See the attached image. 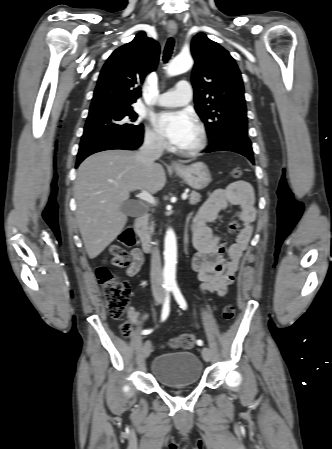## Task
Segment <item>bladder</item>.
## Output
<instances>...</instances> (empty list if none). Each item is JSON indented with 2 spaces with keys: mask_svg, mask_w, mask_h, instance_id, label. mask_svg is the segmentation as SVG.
I'll list each match as a JSON object with an SVG mask.
<instances>
[{
  "mask_svg": "<svg viewBox=\"0 0 332 449\" xmlns=\"http://www.w3.org/2000/svg\"><path fill=\"white\" fill-rule=\"evenodd\" d=\"M151 373L165 387L193 386L202 378L203 365L192 352H168L154 358Z\"/></svg>",
  "mask_w": 332,
  "mask_h": 449,
  "instance_id": "bladder-1",
  "label": "bladder"
}]
</instances>
